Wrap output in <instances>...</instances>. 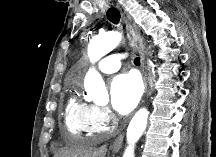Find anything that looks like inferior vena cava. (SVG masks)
<instances>
[{
    "label": "inferior vena cava",
    "instance_id": "1",
    "mask_svg": "<svg viewBox=\"0 0 216 157\" xmlns=\"http://www.w3.org/2000/svg\"><path fill=\"white\" fill-rule=\"evenodd\" d=\"M100 151L105 152V151H106V145L102 146V147L100 148Z\"/></svg>",
    "mask_w": 216,
    "mask_h": 157
}]
</instances>
